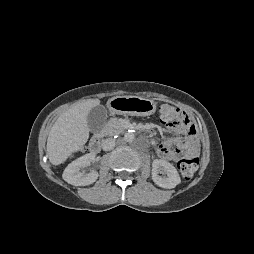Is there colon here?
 <instances>
[{"label": "colon", "instance_id": "5ec220e1", "mask_svg": "<svg viewBox=\"0 0 254 254\" xmlns=\"http://www.w3.org/2000/svg\"><path fill=\"white\" fill-rule=\"evenodd\" d=\"M161 118L169 127H187L192 135L196 133L195 125L192 123L189 115L182 109L171 103H165L161 106ZM199 160L195 157L185 158L179 162V170L185 179L193 177L197 171Z\"/></svg>", "mask_w": 254, "mask_h": 254}]
</instances>
